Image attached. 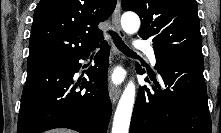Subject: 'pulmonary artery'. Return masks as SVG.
I'll return each mask as SVG.
<instances>
[{
    "label": "pulmonary artery",
    "instance_id": "pulmonary-artery-1",
    "mask_svg": "<svg viewBox=\"0 0 221 133\" xmlns=\"http://www.w3.org/2000/svg\"><path fill=\"white\" fill-rule=\"evenodd\" d=\"M134 47L136 49L144 51L146 53L148 59L150 60L151 64L153 66L156 65V56L154 53V49L151 45H149L148 43L143 42V41H137V42H135Z\"/></svg>",
    "mask_w": 221,
    "mask_h": 133
}]
</instances>
